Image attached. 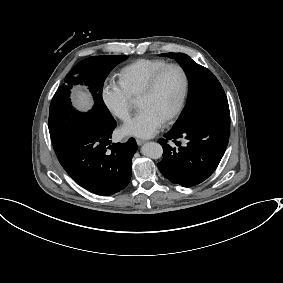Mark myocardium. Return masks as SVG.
<instances>
[{"mask_svg": "<svg viewBox=\"0 0 283 283\" xmlns=\"http://www.w3.org/2000/svg\"><path fill=\"white\" fill-rule=\"evenodd\" d=\"M171 68H176L180 71L182 78H183V88H182V92L181 95L178 99V102L175 106V108L167 115V117L165 118V121H170L172 119H174L182 110L186 97H187V93H188V88H189V78H188V74L186 72V70L184 69V67L180 64L177 63H169L165 66H163L162 68H160L159 70H157L145 83L143 89L141 90L139 96H138V100L142 97L148 96L150 95L156 88L160 78L164 75V73L171 69Z\"/></svg>", "mask_w": 283, "mask_h": 283, "instance_id": "obj_1", "label": "myocardium"}]
</instances>
